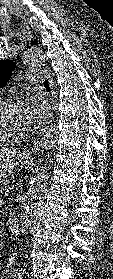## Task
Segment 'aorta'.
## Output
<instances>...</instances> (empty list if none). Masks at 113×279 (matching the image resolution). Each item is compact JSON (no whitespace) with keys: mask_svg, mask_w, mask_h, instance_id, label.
Listing matches in <instances>:
<instances>
[{"mask_svg":"<svg viewBox=\"0 0 113 279\" xmlns=\"http://www.w3.org/2000/svg\"><path fill=\"white\" fill-rule=\"evenodd\" d=\"M46 59V51L41 48H31L24 52L23 64L29 67L43 65ZM59 131L56 126H48L42 129L37 146L41 149H51L57 140ZM46 192V175L44 172H38L32 177L28 191V202L21 220V234L27 235L33 228L40 215Z\"/></svg>","mask_w":113,"mask_h":279,"instance_id":"aorta-1","label":"aorta"}]
</instances>
